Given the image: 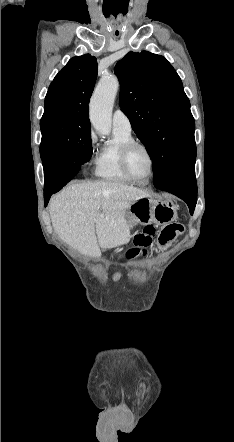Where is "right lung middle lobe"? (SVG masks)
Here are the masks:
<instances>
[{
    "instance_id": "right-lung-middle-lobe-1",
    "label": "right lung middle lobe",
    "mask_w": 234,
    "mask_h": 442,
    "mask_svg": "<svg viewBox=\"0 0 234 442\" xmlns=\"http://www.w3.org/2000/svg\"><path fill=\"white\" fill-rule=\"evenodd\" d=\"M40 128L42 162L62 155H69L80 165L90 160L91 125L86 120L71 116L42 118Z\"/></svg>"
}]
</instances>
